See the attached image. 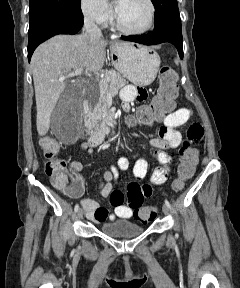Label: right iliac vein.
<instances>
[{
  "label": "right iliac vein",
  "instance_id": "obj_1",
  "mask_svg": "<svg viewBox=\"0 0 240 288\" xmlns=\"http://www.w3.org/2000/svg\"><path fill=\"white\" fill-rule=\"evenodd\" d=\"M77 218L79 220H81L83 218V210L82 209H79L78 212H77Z\"/></svg>",
  "mask_w": 240,
  "mask_h": 288
}]
</instances>
